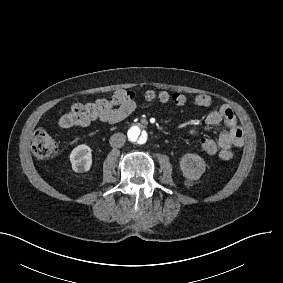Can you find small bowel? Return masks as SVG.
Masks as SVG:
<instances>
[{
	"label": "small bowel",
	"instance_id": "small-bowel-1",
	"mask_svg": "<svg viewBox=\"0 0 283 283\" xmlns=\"http://www.w3.org/2000/svg\"><path fill=\"white\" fill-rule=\"evenodd\" d=\"M130 93L132 92L124 89L112 91L108 95L107 103L100 110L99 120L102 123L115 124L126 119L136 108L135 100L129 99ZM195 103L201 107H211L214 105V100L209 95L199 94L195 97ZM205 124L208 126L223 124L225 126V130L218 137L222 149L217 156L223 161L231 160L234 156V148L244 144L243 131L233 110L227 104H221L207 114ZM195 131V129L191 130L192 133Z\"/></svg>",
	"mask_w": 283,
	"mask_h": 283
}]
</instances>
